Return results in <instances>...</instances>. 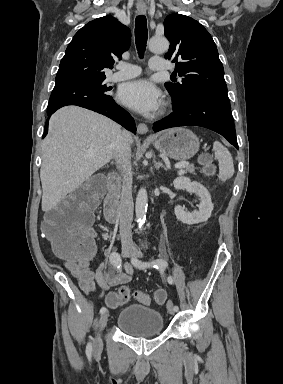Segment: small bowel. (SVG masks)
Returning <instances> with one entry per match:
<instances>
[{"instance_id":"c3829d8e","label":"small bowel","mask_w":283,"mask_h":384,"mask_svg":"<svg viewBox=\"0 0 283 384\" xmlns=\"http://www.w3.org/2000/svg\"><path fill=\"white\" fill-rule=\"evenodd\" d=\"M65 268L77 279L79 287L85 294L98 289L109 290L112 286L128 283L133 276V267L126 263L124 271H114L106 263H101L91 270L89 259L80 261H65Z\"/></svg>"}]
</instances>
